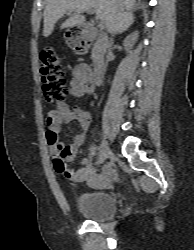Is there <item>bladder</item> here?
Returning <instances> with one entry per match:
<instances>
[{
	"instance_id": "bladder-1",
	"label": "bladder",
	"mask_w": 194,
	"mask_h": 250,
	"mask_svg": "<svg viewBox=\"0 0 194 250\" xmlns=\"http://www.w3.org/2000/svg\"><path fill=\"white\" fill-rule=\"evenodd\" d=\"M77 211L94 221H101L112 217L116 212L114 198L104 192L90 191L81 194L77 199Z\"/></svg>"
}]
</instances>
